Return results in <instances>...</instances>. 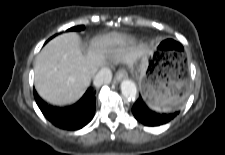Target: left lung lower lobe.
I'll use <instances>...</instances> for the list:
<instances>
[{"instance_id": "0a47b994", "label": "left lung lower lobe", "mask_w": 225, "mask_h": 155, "mask_svg": "<svg viewBox=\"0 0 225 155\" xmlns=\"http://www.w3.org/2000/svg\"><path fill=\"white\" fill-rule=\"evenodd\" d=\"M188 91V90H187ZM186 91V93H187ZM132 113L135 118L146 126H160L171 121L179 112L172 114H160L150 110L143 102L141 96L132 107Z\"/></svg>"}]
</instances>
